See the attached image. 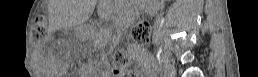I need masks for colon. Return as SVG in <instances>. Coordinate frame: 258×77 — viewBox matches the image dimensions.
I'll return each mask as SVG.
<instances>
[{"label":"colon","instance_id":"5ec220e1","mask_svg":"<svg viewBox=\"0 0 258 77\" xmlns=\"http://www.w3.org/2000/svg\"><path fill=\"white\" fill-rule=\"evenodd\" d=\"M151 28L146 22L135 24L130 29V38L134 43H147L150 40ZM32 37L36 44L45 45L49 42V34L46 27V21L39 16L35 19L32 27ZM116 69H123L128 65V56L125 51L120 50L113 61Z\"/></svg>","mask_w":258,"mask_h":77}]
</instances>
